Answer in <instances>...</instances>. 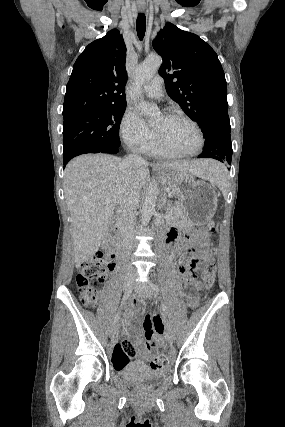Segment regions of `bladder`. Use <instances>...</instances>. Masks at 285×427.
Wrapping results in <instances>:
<instances>
[{
  "label": "bladder",
  "instance_id": "bladder-1",
  "mask_svg": "<svg viewBox=\"0 0 285 427\" xmlns=\"http://www.w3.org/2000/svg\"><path fill=\"white\" fill-rule=\"evenodd\" d=\"M121 379L140 389H146L162 381L165 372H153L141 363H130L115 372Z\"/></svg>",
  "mask_w": 285,
  "mask_h": 427
}]
</instances>
